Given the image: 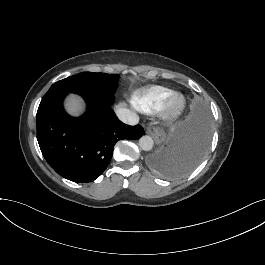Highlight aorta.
Listing matches in <instances>:
<instances>
[{
    "label": "aorta",
    "instance_id": "obj_1",
    "mask_svg": "<svg viewBox=\"0 0 265 265\" xmlns=\"http://www.w3.org/2000/svg\"><path fill=\"white\" fill-rule=\"evenodd\" d=\"M153 145H154L153 139L148 135L142 136L139 139V146L144 151L151 150L153 148Z\"/></svg>",
    "mask_w": 265,
    "mask_h": 265
}]
</instances>
